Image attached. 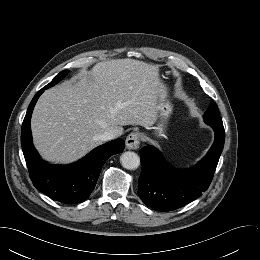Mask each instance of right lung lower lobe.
<instances>
[{
    "mask_svg": "<svg viewBox=\"0 0 260 260\" xmlns=\"http://www.w3.org/2000/svg\"><path fill=\"white\" fill-rule=\"evenodd\" d=\"M46 88L32 99L21 129V146L34 186L45 195L64 204L86 200L95 188L105 161L124 150L122 139L110 141L95 148L84 158L69 165H50L44 162L32 143L30 120L33 108Z\"/></svg>",
    "mask_w": 260,
    "mask_h": 260,
    "instance_id": "right-lung-lower-lobe-1",
    "label": "right lung lower lobe"
}]
</instances>
